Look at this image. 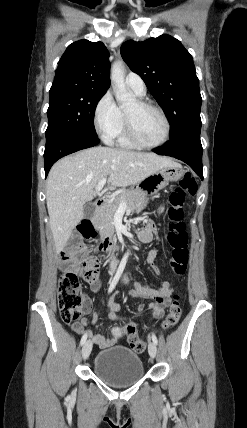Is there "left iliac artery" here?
<instances>
[{"instance_id":"left-iliac-artery-1","label":"left iliac artery","mask_w":247,"mask_h":428,"mask_svg":"<svg viewBox=\"0 0 247 428\" xmlns=\"http://www.w3.org/2000/svg\"><path fill=\"white\" fill-rule=\"evenodd\" d=\"M152 341H153L155 344H157V343H158L157 337L155 336V334H154V333H152Z\"/></svg>"}]
</instances>
